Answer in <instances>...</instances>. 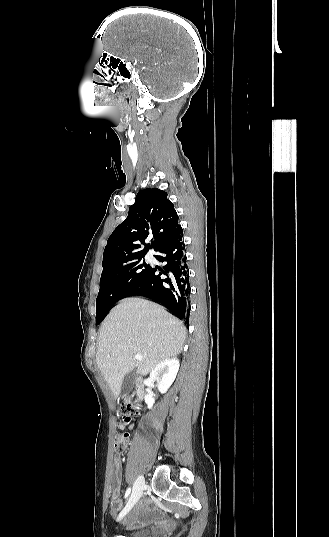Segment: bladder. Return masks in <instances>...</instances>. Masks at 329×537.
Segmentation results:
<instances>
[{"mask_svg": "<svg viewBox=\"0 0 329 537\" xmlns=\"http://www.w3.org/2000/svg\"><path fill=\"white\" fill-rule=\"evenodd\" d=\"M150 533V530H137L128 537H149Z\"/></svg>", "mask_w": 329, "mask_h": 537, "instance_id": "bladder-1", "label": "bladder"}]
</instances>
